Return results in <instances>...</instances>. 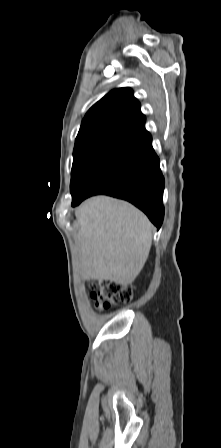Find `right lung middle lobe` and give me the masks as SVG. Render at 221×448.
<instances>
[{
    "label": "right lung middle lobe",
    "mask_w": 221,
    "mask_h": 448,
    "mask_svg": "<svg viewBox=\"0 0 221 448\" xmlns=\"http://www.w3.org/2000/svg\"><path fill=\"white\" fill-rule=\"evenodd\" d=\"M114 147L112 145H90L74 149L70 183L72 200L77 196L96 166Z\"/></svg>",
    "instance_id": "right-lung-middle-lobe-1"
}]
</instances>
